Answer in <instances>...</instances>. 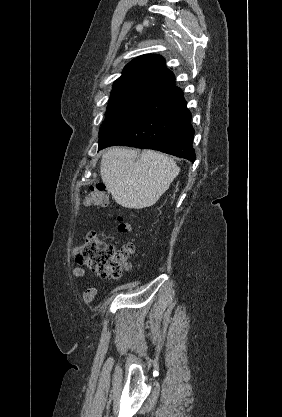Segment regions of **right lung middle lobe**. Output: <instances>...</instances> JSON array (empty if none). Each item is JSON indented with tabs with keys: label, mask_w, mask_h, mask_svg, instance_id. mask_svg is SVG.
Masks as SVG:
<instances>
[{
	"label": "right lung middle lobe",
	"mask_w": 282,
	"mask_h": 417,
	"mask_svg": "<svg viewBox=\"0 0 282 417\" xmlns=\"http://www.w3.org/2000/svg\"><path fill=\"white\" fill-rule=\"evenodd\" d=\"M159 95L138 91L112 93L100 128L99 145L138 116Z\"/></svg>",
	"instance_id": "right-lung-middle-lobe-1"
}]
</instances>
